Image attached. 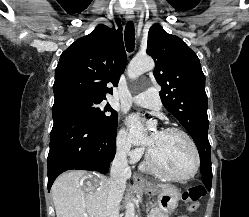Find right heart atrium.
I'll list each match as a JSON object with an SVG mask.
<instances>
[{"label":"right heart atrium","instance_id":"right-heart-atrium-1","mask_svg":"<svg viewBox=\"0 0 249 217\" xmlns=\"http://www.w3.org/2000/svg\"><path fill=\"white\" fill-rule=\"evenodd\" d=\"M116 146L118 152L131 162L138 160L141 155L140 149L132 148L130 136L124 128H120L116 134Z\"/></svg>","mask_w":249,"mask_h":217}]
</instances>
